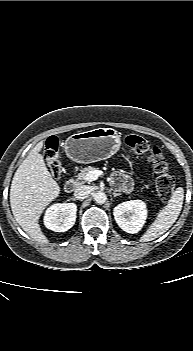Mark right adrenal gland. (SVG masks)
I'll return each instance as SVG.
<instances>
[{"label": "right adrenal gland", "mask_w": 193, "mask_h": 351, "mask_svg": "<svg viewBox=\"0 0 193 351\" xmlns=\"http://www.w3.org/2000/svg\"><path fill=\"white\" fill-rule=\"evenodd\" d=\"M72 201H76V198H71Z\"/></svg>", "instance_id": "2a0ac1e0"}]
</instances>
